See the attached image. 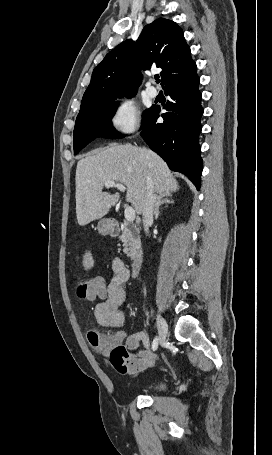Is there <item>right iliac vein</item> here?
Returning <instances> with one entry per match:
<instances>
[{
  "label": "right iliac vein",
  "instance_id": "63e3f726",
  "mask_svg": "<svg viewBox=\"0 0 272 455\" xmlns=\"http://www.w3.org/2000/svg\"><path fill=\"white\" fill-rule=\"evenodd\" d=\"M157 327L160 344L164 345L167 339L168 326L165 319L160 314L157 315Z\"/></svg>",
  "mask_w": 272,
  "mask_h": 455
}]
</instances>
